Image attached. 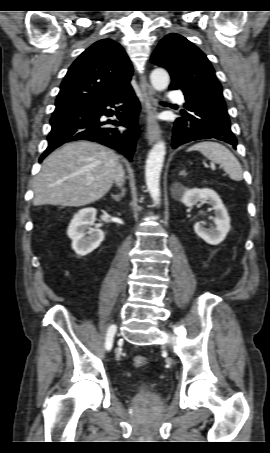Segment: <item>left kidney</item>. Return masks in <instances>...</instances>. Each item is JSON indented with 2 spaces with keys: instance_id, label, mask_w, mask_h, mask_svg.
Returning a JSON list of instances; mask_svg holds the SVG:
<instances>
[{
  "instance_id": "5707ae66",
  "label": "left kidney",
  "mask_w": 270,
  "mask_h": 453,
  "mask_svg": "<svg viewBox=\"0 0 270 453\" xmlns=\"http://www.w3.org/2000/svg\"><path fill=\"white\" fill-rule=\"evenodd\" d=\"M197 202H205L214 210V224L210 228H205L201 222L194 225L195 233L205 242L211 245L220 244L230 231V217L222 200L218 194L209 188L185 189L182 196V203L188 207H193Z\"/></svg>"
}]
</instances>
